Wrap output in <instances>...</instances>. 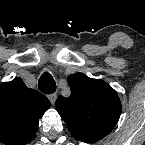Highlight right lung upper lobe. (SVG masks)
<instances>
[{
  "label": "right lung upper lobe",
  "mask_w": 145,
  "mask_h": 145,
  "mask_svg": "<svg viewBox=\"0 0 145 145\" xmlns=\"http://www.w3.org/2000/svg\"><path fill=\"white\" fill-rule=\"evenodd\" d=\"M50 106L44 95L26 87L20 77L0 84V142L25 145L32 141L38 119Z\"/></svg>",
  "instance_id": "obj_1"
}]
</instances>
